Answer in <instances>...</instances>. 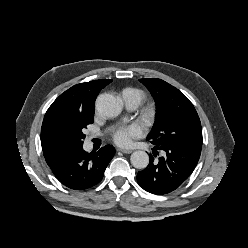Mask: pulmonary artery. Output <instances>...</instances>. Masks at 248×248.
Masks as SVG:
<instances>
[{"label": "pulmonary artery", "mask_w": 248, "mask_h": 248, "mask_svg": "<svg viewBox=\"0 0 248 248\" xmlns=\"http://www.w3.org/2000/svg\"><path fill=\"white\" fill-rule=\"evenodd\" d=\"M122 99L128 110H135L141 103L140 98L129 91L122 92Z\"/></svg>", "instance_id": "obj_1"}]
</instances>
